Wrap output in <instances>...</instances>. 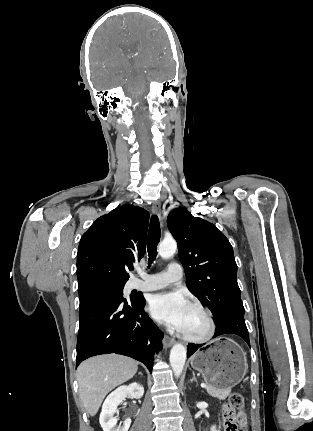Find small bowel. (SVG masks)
Wrapping results in <instances>:
<instances>
[{"mask_svg": "<svg viewBox=\"0 0 313 431\" xmlns=\"http://www.w3.org/2000/svg\"><path fill=\"white\" fill-rule=\"evenodd\" d=\"M232 420L234 421V423L239 426L241 429H243V431H247L246 430V425H247V419H246V415L243 411H239L238 413H235L232 417ZM222 425L226 431V419L223 417L222 419Z\"/></svg>", "mask_w": 313, "mask_h": 431, "instance_id": "c3829d8e", "label": "small bowel"}]
</instances>
